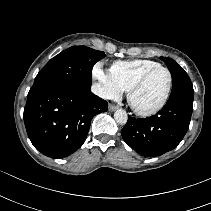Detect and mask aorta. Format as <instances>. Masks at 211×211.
<instances>
[{
    "mask_svg": "<svg viewBox=\"0 0 211 211\" xmlns=\"http://www.w3.org/2000/svg\"><path fill=\"white\" fill-rule=\"evenodd\" d=\"M114 118L115 121L119 124H126L128 116L125 110L123 109H118L115 113H114Z\"/></svg>",
    "mask_w": 211,
    "mask_h": 211,
    "instance_id": "aorta-1",
    "label": "aorta"
}]
</instances>
